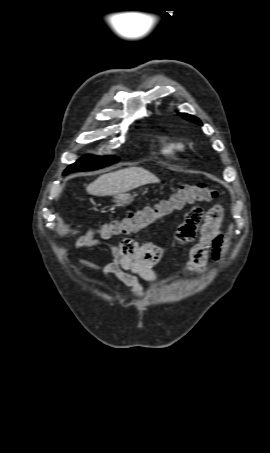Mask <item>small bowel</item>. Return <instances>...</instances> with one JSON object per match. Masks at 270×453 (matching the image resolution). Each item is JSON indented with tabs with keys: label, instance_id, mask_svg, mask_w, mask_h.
I'll use <instances>...</instances> for the list:
<instances>
[{
	"label": "small bowel",
	"instance_id": "1",
	"mask_svg": "<svg viewBox=\"0 0 270 453\" xmlns=\"http://www.w3.org/2000/svg\"><path fill=\"white\" fill-rule=\"evenodd\" d=\"M223 215L224 211L220 205H214L208 210L193 207L186 213L184 221L175 232V242L184 248L199 234L198 242L191 247L189 260L184 266L186 271L203 274L210 253L215 261L220 260L225 242L221 231ZM74 247L107 251L111 255V260L105 264L84 259L80 260V264L87 270L101 272L110 285H113L112 276H118L131 287L132 294L136 297L144 295L141 281L147 283L157 281L158 273L154 267L167 255L166 248L153 243L139 244L131 238H124L117 244H112L91 234H83L77 238Z\"/></svg>",
	"mask_w": 270,
	"mask_h": 453
}]
</instances>
